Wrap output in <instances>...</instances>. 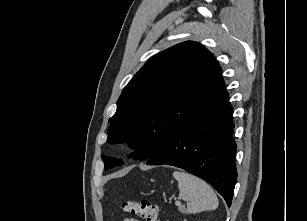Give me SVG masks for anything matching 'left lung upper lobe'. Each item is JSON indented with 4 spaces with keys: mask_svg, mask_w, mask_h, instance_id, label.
I'll use <instances>...</instances> for the list:
<instances>
[{
    "mask_svg": "<svg viewBox=\"0 0 307 221\" xmlns=\"http://www.w3.org/2000/svg\"><path fill=\"white\" fill-rule=\"evenodd\" d=\"M220 71L213 55L192 41L154 55L123 89L109 119L108 142H131L133 156L149 160L226 91ZM102 159L105 169L122 164Z\"/></svg>",
    "mask_w": 307,
    "mask_h": 221,
    "instance_id": "5c2ea615",
    "label": "left lung upper lobe"
}]
</instances>
